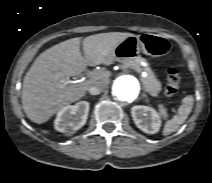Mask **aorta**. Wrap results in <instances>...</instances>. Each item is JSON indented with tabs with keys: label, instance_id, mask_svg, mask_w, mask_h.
Wrapping results in <instances>:
<instances>
[{
	"label": "aorta",
	"instance_id": "762f6f07",
	"mask_svg": "<svg viewBox=\"0 0 212 183\" xmlns=\"http://www.w3.org/2000/svg\"><path fill=\"white\" fill-rule=\"evenodd\" d=\"M139 80L132 75L118 77L112 86V95L120 103L132 102L140 94Z\"/></svg>",
	"mask_w": 212,
	"mask_h": 183
}]
</instances>
